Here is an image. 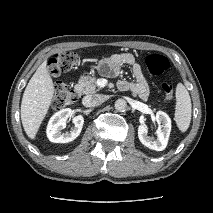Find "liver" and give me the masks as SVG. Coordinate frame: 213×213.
I'll return each mask as SVG.
<instances>
[{
  "instance_id": "1",
  "label": "liver",
  "mask_w": 213,
  "mask_h": 213,
  "mask_svg": "<svg viewBox=\"0 0 213 213\" xmlns=\"http://www.w3.org/2000/svg\"><path fill=\"white\" fill-rule=\"evenodd\" d=\"M54 94V85L44 61L31 77L21 102V120L30 139H35Z\"/></svg>"
}]
</instances>
